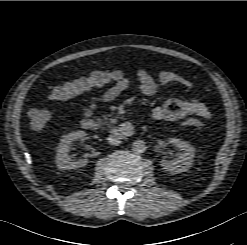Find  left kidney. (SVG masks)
Segmentation results:
<instances>
[{
	"mask_svg": "<svg viewBox=\"0 0 247 245\" xmlns=\"http://www.w3.org/2000/svg\"><path fill=\"white\" fill-rule=\"evenodd\" d=\"M168 143L175 145L181 150V153L175 160L161 161V166L164 170L178 174L190 169L195 156V148L186 141L177 138H169Z\"/></svg>",
	"mask_w": 247,
	"mask_h": 245,
	"instance_id": "5707ae66",
	"label": "left kidney"
}]
</instances>
